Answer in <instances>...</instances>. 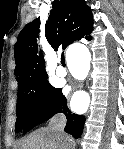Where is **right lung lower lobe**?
Masks as SVG:
<instances>
[{"instance_id": "obj_1", "label": "right lung lower lobe", "mask_w": 124, "mask_h": 149, "mask_svg": "<svg viewBox=\"0 0 124 149\" xmlns=\"http://www.w3.org/2000/svg\"><path fill=\"white\" fill-rule=\"evenodd\" d=\"M57 113H64L67 118V124L64 131L71 134L75 139L79 138L83 132L85 117L71 113L67 107L66 98L62 94L61 89L55 91L50 105L44 112L36 113L28 119L23 128V132L27 133L37 124L47 121Z\"/></svg>"}]
</instances>
